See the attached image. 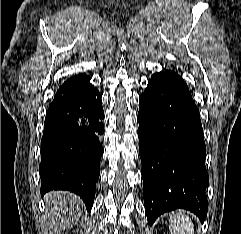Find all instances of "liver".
I'll use <instances>...</instances> for the list:
<instances>
[{
    "instance_id": "liver-1",
    "label": "liver",
    "mask_w": 241,
    "mask_h": 234,
    "mask_svg": "<svg viewBox=\"0 0 241 234\" xmlns=\"http://www.w3.org/2000/svg\"><path fill=\"white\" fill-rule=\"evenodd\" d=\"M44 200L47 207L44 225L50 233L70 228L79 220L83 202L73 193L52 191L45 195Z\"/></svg>"
}]
</instances>
